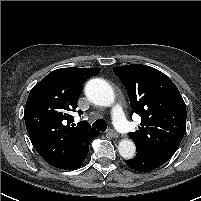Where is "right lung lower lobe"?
Instances as JSON below:
<instances>
[{
  "instance_id": "1",
  "label": "right lung lower lobe",
  "mask_w": 201,
  "mask_h": 201,
  "mask_svg": "<svg viewBox=\"0 0 201 201\" xmlns=\"http://www.w3.org/2000/svg\"><path fill=\"white\" fill-rule=\"evenodd\" d=\"M88 150H89V144L87 145V147H86V149H85V151H84V153H83L81 159H80L74 166H72V167H70V168H68V169L80 167V166L83 164V162L85 161V159H86Z\"/></svg>"
}]
</instances>
